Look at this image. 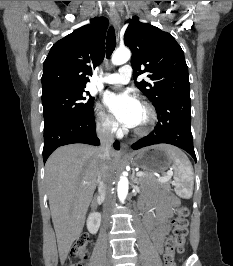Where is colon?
Wrapping results in <instances>:
<instances>
[{
  "mask_svg": "<svg viewBox=\"0 0 233 266\" xmlns=\"http://www.w3.org/2000/svg\"><path fill=\"white\" fill-rule=\"evenodd\" d=\"M188 208L181 206L178 208L176 217L172 221V231L165 243V253L163 256L165 266H175V253L182 254L188 234ZM88 237L83 234L74 243L71 249V256L84 259L87 255ZM68 266H82L81 263H73Z\"/></svg>",
  "mask_w": 233,
  "mask_h": 266,
  "instance_id": "colon-1",
  "label": "colon"
}]
</instances>
